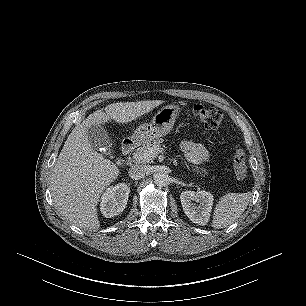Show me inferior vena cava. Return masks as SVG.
I'll list each match as a JSON object with an SVG mask.
<instances>
[{"instance_id": "obj_1", "label": "inferior vena cava", "mask_w": 306, "mask_h": 306, "mask_svg": "<svg viewBox=\"0 0 306 306\" xmlns=\"http://www.w3.org/2000/svg\"><path fill=\"white\" fill-rule=\"evenodd\" d=\"M149 172V168L145 165H134L128 171L129 176L134 180L144 178L149 174Z\"/></svg>"}]
</instances>
